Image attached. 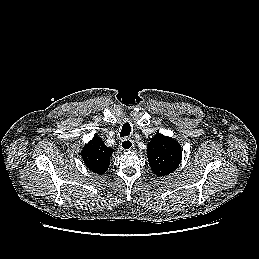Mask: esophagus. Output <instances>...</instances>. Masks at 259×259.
<instances>
[{"label":"esophagus","instance_id":"34e87169","mask_svg":"<svg viewBox=\"0 0 259 259\" xmlns=\"http://www.w3.org/2000/svg\"><path fill=\"white\" fill-rule=\"evenodd\" d=\"M120 148L124 151H130L134 148V143L130 139H124L120 143Z\"/></svg>","mask_w":259,"mask_h":259}]
</instances>
